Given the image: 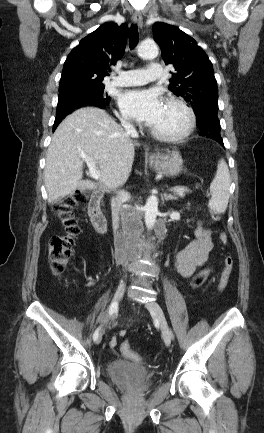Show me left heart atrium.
Returning a JSON list of instances; mask_svg holds the SVG:
<instances>
[{"instance_id": "39dd6f15", "label": "left heart atrium", "mask_w": 264, "mask_h": 433, "mask_svg": "<svg viewBox=\"0 0 264 433\" xmlns=\"http://www.w3.org/2000/svg\"><path fill=\"white\" fill-rule=\"evenodd\" d=\"M119 105L129 117L151 126L160 117L164 101L156 90L136 89L121 94Z\"/></svg>"}]
</instances>
